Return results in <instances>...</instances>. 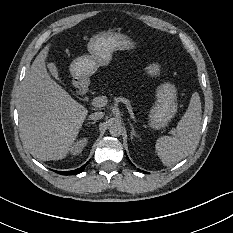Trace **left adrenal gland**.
<instances>
[{"instance_id":"a2214340","label":"left adrenal gland","mask_w":233,"mask_h":233,"mask_svg":"<svg viewBox=\"0 0 233 233\" xmlns=\"http://www.w3.org/2000/svg\"><path fill=\"white\" fill-rule=\"evenodd\" d=\"M131 133H133V134H136V129L133 127V125L131 124V131H130Z\"/></svg>"}]
</instances>
